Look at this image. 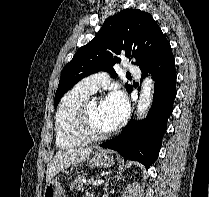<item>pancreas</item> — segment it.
<instances>
[{
    "label": "pancreas",
    "mask_w": 209,
    "mask_h": 197,
    "mask_svg": "<svg viewBox=\"0 0 209 197\" xmlns=\"http://www.w3.org/2000/svg\"><path fill=\"white\" fill-rule=\"evenodd\" d=\"M85 177L83 175H78L73 182L70 184L71 189H77L78 191L85 189L84 183Z\"/></svg>",
    "instance_id": "pancreas-1"
}]
</instances>
